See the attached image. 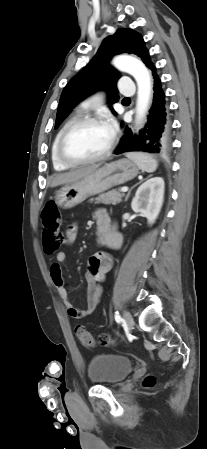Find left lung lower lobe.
<instances>
[{
	"mask_svg": "<svg viewBox=\"0 0 207 449\" xmlns=\"http://www.w3.org/2000/svg\"><path fill=\"white\" fill-rule=\"evenodd\" d=\"M148 68L153 79L154 91L148 121L137 135L126 127L115 154L130 151L165 153L169 148L171 124L166 96L155 65L151 63Z\"/></svg>",
	"mask_w": 207,
	"mask_h": 449,
	"instance_id": "0a47b994",
	"label": "left lung lower lobe"
}]
</instances>
